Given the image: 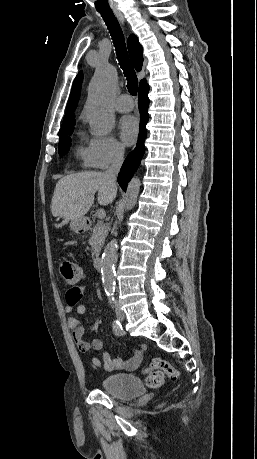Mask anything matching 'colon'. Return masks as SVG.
Wrapping results in <instances>:
<instances>
[{
	"mask_svg": "<svg viewBox=\"0 0 257 459\" xmlns=\"http://www.w3.org/2000/svg\"><path fill=\"white\" fill-rule=\"evenodd\" d=\"M60 274L68 284H75L83 276L82 268L74 262L62 261L59 266ZM145 383L148 387H161L166 377L176 380L179 377L178 371L166 360L154 358L143 370Z\"/></svg>",
	"mask_w": 257,
	"mask_h": 459,
	"instance_id": "obj_1",
	"label": "colon"
}]
</instances>
